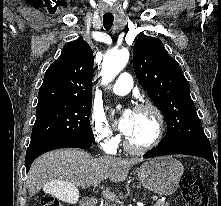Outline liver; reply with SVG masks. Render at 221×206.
<instances>
[{"instance_id":"1","label":"liver","mask_w":221,"mask_h":206,"mask_svg":"<svg viewBox=\"0 0 221 206\" xmlns=\"http://www.w3.org/2000/svg\"><path fill=\"white\" fill-rule=\"evenodd\" d=\"M142 159H121L115 157L93 158L79 149H63L48 152L37 158L28 173L26 186L30 196L43 189L53 193L50 185L60 183L67 186L68 201H76L78 188L98 185L103 179L118 183L124 181L129 170ZM71 192L76 199H72Z\"/></svg>"}]
</instances>
